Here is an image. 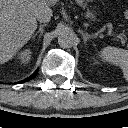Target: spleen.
I'll list each match as a JSON object with an SVG mask.
<instances>
[{"label": "spleen", "instance_id": "spleen-1", "mask_svg": "<svg viewBox=\"0 0 128 128\" xmlns=\"http://www.w3.org/2000/svg\"><path fill=\"white\" fill-rule=\"evenodd\" d=\"M100 55L104 61L120 66L124 78L128 81V50L105 47Z\"/></svg>", "mask_w": 128, "mask_h": 128}]
</instances>
